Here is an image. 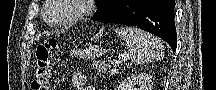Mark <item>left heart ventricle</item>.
Wrapping results in <instances>:
<instances>
[{
  "label": "left heart ventricle",
  "mask_w": 216,
  "mask_h": 90,
  "mask_svg": "<svg viewBox=\"0 0 216 90\" xmlns=\"http://www.w3.org/2000/svg\"><path fill=\"white\" fill-rule=\"evenodd\" d=\"M73 13V8L69 6L62 5L61 10H57V13H53L52 19L57 22H62L67 20Z\"/></svg>",
  "instance_id": "1"
}]
</instances>
